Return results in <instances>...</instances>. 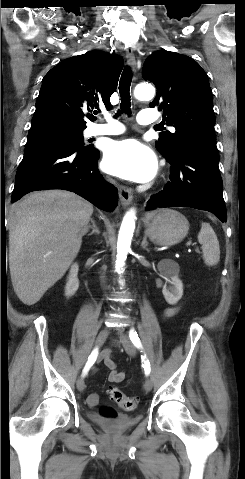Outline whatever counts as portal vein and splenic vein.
I'll return each mask as SVG.
<instances>
[{
	"label": "portal vein and splenic vein",
	"instance_id": "18ae733b",
	"mask_svg": "<svg viewBox=\"0 0 245 479\" xmlns=\"http://www.w3.org/2000/svg\"><path fill=\"white\" fill-rule=\"evenodd\" d=\"M191 245H192L191 242H187V243H186V246H187V247H189V246H191Z\"/></svg>",
	"mask_w": 245,
	"mask_h": 479
}]
</instances>
